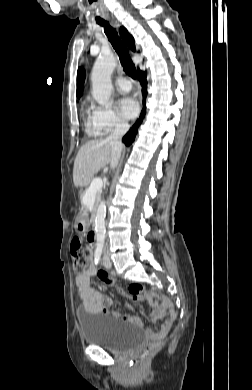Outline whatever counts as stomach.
I'll list each match as a JSON object with an SVG mask.
<instances>
[{
  "label": "stomach",
  "instance_id": "stomach-1",
  "mask_svg": "<svg viewBox=\"0 0 252 390\" xmlns=\"http://www.w3.org/2000/svg\"><path fill=\"white\" fill-rule=\"evenodd\" d=\"M75 228L77 231H80V232L86 229V221L84 220V218H82V217L77 218Z\"/></svg>",
  "mask_w": 252,
  "mask_h": 390
}]
</instances>
